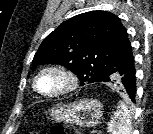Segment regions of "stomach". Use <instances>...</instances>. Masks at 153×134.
I'll use <instances>...</instances> for the list:
<instances>
[{
  "label": "stomach",
  "mask_w": 153,
  "mask_h": 134,
  "mask_svg": "<svg viewBox=\"0 0 153 134\" xmlns=\"http://www.w3.org/2000/svg\"><path fill=\"white\" fill-rule=\"evenodd\" d=\"M50 116L56 122L74 123L80 127L90 128L97 125L102 116V104L97 100H82L67 106H55Z\"/></svg>",
  "instance_id": "0dacf381"
}]
</instances>
